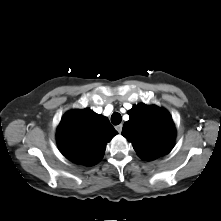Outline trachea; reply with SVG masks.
<instances>
[{
  "label": "trachea",
  "instance_id": "obj_1",
  "mask_svg": "<svg viewBox=\"0 0 221 221\" xmlns=\"http://www.w3.org/2000/svg\"><path fill=\"white\" fill-rule=\"evenodd\" d=\"M122 121V117L118 112H114L111 115V122L113 125H119Z\"/></svg>",
  "mask_w": 221,
  "mask_h": 221
}]
</instances>
